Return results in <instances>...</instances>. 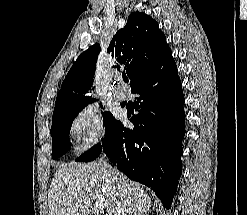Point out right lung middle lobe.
Segmentation results:
<instances>
[{
    "label": "right lung middle lobe",
    "instance_id": "dd1d6c3e",
    "mask_svg": "<svg viewBox=\"0 0 247 215\" xmlns=\"http://www.w3.org/2000/svg\"><path fill=\"white\" fill-rule=\"evenodd\" d=\"M94 102V99L78 103L69 108L62 109L53 114L52 126L50 134L52 136V157L56 159L65 154L71 143L69 141V132L74 118L78 113L89 103ZM103 120L105 121L106 128L112 123L114 117L110 112H105Z\"/></svg>",
    "mask_w": 247,
    "mask_h": 215
}]
</instances>
